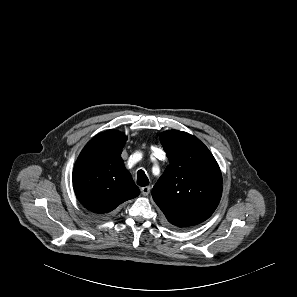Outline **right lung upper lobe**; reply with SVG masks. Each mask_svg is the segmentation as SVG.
I'll list each match as a JSON object with an SVG mask.
<instances>
[{
  "instance_id": "right-lung-upper-lobe-1",
  "label": "right lung upper lobe",
  "mask_w": 297,
  "mask_h": 297,
  "mask_svg": "<svg viewBox=\"0 0 297 297\" xmlns=\"http://www.w3.org/2000/svg\"><path fill=\"white\" fill-rule=\"evenodd\" d=\"M126 140L117 130L102 132L88 142L75 163L76 197L92 212H110L140 193L121 158Z\"/></svg>"
}]
</instances>
